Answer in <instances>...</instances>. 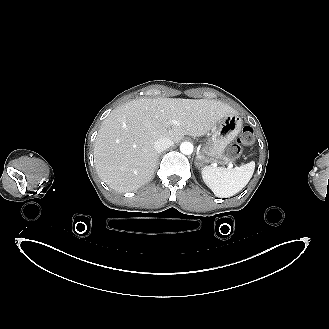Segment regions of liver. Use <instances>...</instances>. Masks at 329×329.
<instances>
[{
	"mask_svg": "<svg viewBox=\"0 0 329 329\" xmlns=\"http://www.w3.org/2000/svg\"><path fill=\"white\" fill-rule=\"evenodd\" d=\"M233 113H237L236 110L217 100L142 98L129 101L114 109L102 122L94 147L96 171L111 189L135 191L154 175L157 139L167 137L178 142L184 135H205ZM172 121L177 123L170 124Z\"/></svg>",
	"mask_w": 329,
	"mask_h": 329,
	"instance_id": "1",
	"label": "liver"
}]
</instances>
